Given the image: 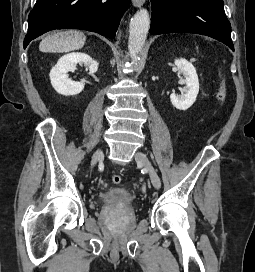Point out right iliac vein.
I'll return each instance as SVG.
<instances>
[{
    "label": "right iliac vein",
    "mask_w": 255,
    "mask_h": 272,
    "mask_svg": "<svg viewBox=\"0 0 255 272\" xmlns=\"http://www.w3.org/2000/svg\"><path fill=\"white\" fill-rule=\"evenodd\" d=\"M103 159V151L101 149L97 150L93 156H92V160H91V166L94 167L95 164L98 161H101Z\"/></svg>",
    "instance_id": "obj_1"
}]
</instances>
